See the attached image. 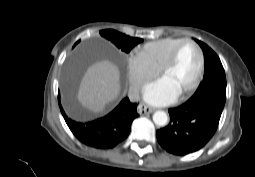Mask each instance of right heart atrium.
<instances>
[{
  "label": "right heart atrium",
  "mask_w": 255,
  "mask_h": 177,
  "mask_svg": "<svg viewBox=\"0 0 255 177\" xmlns=\"http://www.w3.org/2000/svg\"><path fill=\"white\" fill-rule=\"evenodd\" d=\"M157 74L158 70L139 54L132 55L129 58L128 77L134 94H138Z\"/></svg>",
  "instance_id": "1"
}]
</instances>
